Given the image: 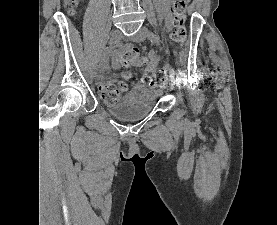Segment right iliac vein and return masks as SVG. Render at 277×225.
I'll return each mask as SVG.
<instances>
[{
    "instance_id": "1",
    "label": "right iliac vein",
    "mask_w": 277,
    "mask_h": 225,
    "mask_svg": "<svg viewBox=\"0 0 277 225\" xmlns=\"http://www.w3.org/2000/svg\"><path fill=\"white\" fill-rule=\"evenodd\" d=\"M121 38H122V33L119 30H114L111 33L109 43H111L112 45H115L120 41ZM98 83H99V76L96 74L95 75V85H98Z\"/></svg>"
}]
</instances>
